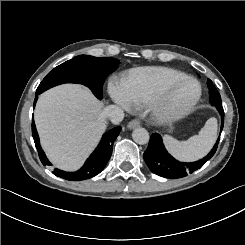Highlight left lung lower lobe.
I'll list each match as a JSON object with an SVG mask.
<instances>
[{
  "label": "left lung lower lobe",
  "instance_id": "obj_1",
  "mask_svg": "<svg viewBox=\"0 0 245 245\" xmlns=\"http://www.w3.org/2000/svg\"><path fill=\"white\" fill-rule=\"evenodd\" d=\"M208 87L210 93V103L214 105L221 116V131L224 124V111L220 94L218 93L211 80H208ZM220 137L210 153L203 159L196 162L183 163L175 160L165 149L162 137L158 133L152 134L147 150L144 152V160L149 169L162 177L177 179L186 177L188 174L193 173L202 167L212 156L215 154Z\"/></svg>",
  "mask_w": 245,
  "mask_h": 245
}]
</instances>
